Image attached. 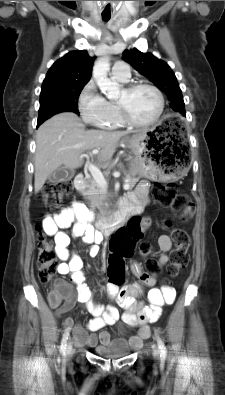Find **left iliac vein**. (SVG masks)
<instances>
[{
  "instance_id": "left-iliac-vein-1",
  "label": "left iliac vein",
  "mask_w": 225,
  "mask_h": 395,
  "mask_svg": "<svg viewBox=\"0 0 225 395\" xmlns=\"http://www.w3.org/2000/svg\"><path fill=\"white\" fill-rule=\"evenodd\" d=\"M153 351H154V355L157 356L159 353L158 349L156 347H154Z\"/></svg>"
}]
</instances>
